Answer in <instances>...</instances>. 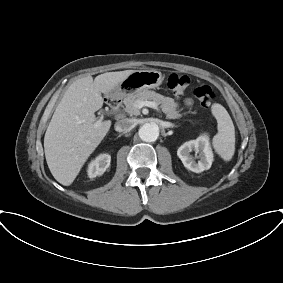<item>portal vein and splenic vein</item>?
Returning a JSON list of instances; mask_svg holds the SVG:
<instances>
[{
    "instance_id": "portal-vein-and-splenic-vein-1",
    "label": "portal vein and splenic vein",
    "mask_w": 283,
    "mask_h": 283,
    "mask_svg": "<svg viewBox=\"0 0 283 283\" xmlns=\"http://www.w3.org/2000/svg\"><path fill=\"white\" fill-rule=\"evenodd\" d=\"M138 109H141L143 107H150L156 110H159L158 104L155 103L154 101H137L136 105H135ZM102 121V118L100 120L97 121V125Z\"/></svg>"
}]
</instances>
